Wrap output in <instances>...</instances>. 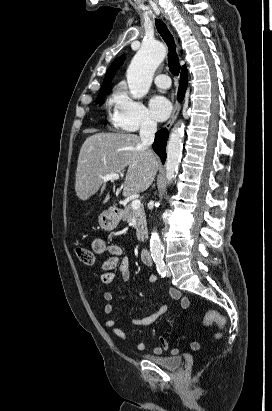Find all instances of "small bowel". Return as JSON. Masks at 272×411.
Segmentation results:
<instances>
[{
    "instance_id": "1",
    "label": "small bowel",
    "mask_w": 272,
    "mask_h": 411,
    "mask_svg": "<svg viewBox=\"0 0 272 411\" xmlns=\"http://www.w3.org/2000/svg\"><path fill=\"white\" fill-rule=\"evenodd\" d=\"M93 250L98 254L108 253L109 257L102 263V274L100 277L101 283L103 285H109L114 281L115 273L114 270L118 269L119 275L123 281H128L130 278L131 267L129 259L124 255L121 246L115 243H108L102 238H96L92 242ZM149 283H157L158 278L156 276L148 277ZM167 295L179 302L180 307L185 310L189 307V300L184 297L179 290L175 288H170L167 291ZM103 298L106 302L104 306V314L110 316L113 312V299L114 296L111 292L105 291L103 293ZM169 307L167 304L162 305L156 312L147 315L142 318H131L130 322L134 326H147L153 324L160 316L168 311ZM106 327L119 339L127 340L128 337L126 333L116 324L112 318H107L105 321ZM190 349L196 351L200 348V343L198 341H193L189 345ZM146 345L144 341L136 342V349L138 351L145 350ZM164 351H168L173 355L179 354V349L176 347H170L167 339L164 336L160 337V345L155 346L153 352L155 354H162Z\"/></svg>"
}]
</instances>
